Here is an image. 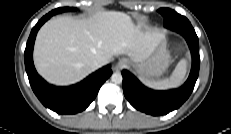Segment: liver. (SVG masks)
<instances>
[{"mask_svg": "<svg viewBox=\"0 0 231 134\" xmlns=\"http://www.w3.org/2000/svg\"><path fill=\"white\" fill-rule=\"evenodd\" d=\"M163 39V32H144L123 12H99L87 19L56 17L37 34L34 63L47 81L70 85L93 72L96 60L105 65L123 54L139 60Z\"/></svg>", "mask_w": 231, "mask_h": 134, "instance_id": "liver-1", "label": "liver"}]
</instances>
